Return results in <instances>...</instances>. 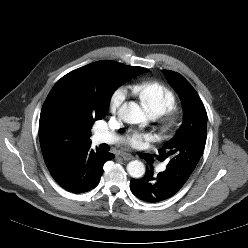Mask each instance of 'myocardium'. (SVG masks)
<instances>
[{"label": "myocardium", "instance_id": "f54148a6", "mask_svg": "<svg viewBox=\"0 0 248 248\" xmlns=\"http://www.w3.org/2000/svg\"><path fill=\"white\" fill-rule=\"evenodd\" d=\"M158 117L160 132L164 137L172 136L182 124V114L176 108H173Z\"/></svg>", "mask_w": 248, "mask_h": 248}]
</instances>
